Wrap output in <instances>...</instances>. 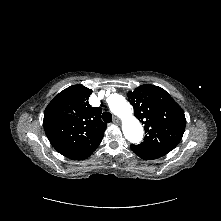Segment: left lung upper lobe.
Listing matches in <instances>:
<instances>
[{"label":"left lung upper lobe","instance_id":"obj_1","mask_svg":"<svg viewBox=\"0 0 221 221\" xmlns=\"http://www.w3.org/2000/svg\"><path fill=\"white\" fill-rule=\"evenodd\" d=\"M135 116L144 124L145 138L132 151L145 160L160 158L173 150L185 131L182 108L162 88L143 84L128 92Z\"/></svg>","mask_w":221,"mask_h":221}]
</instances>
